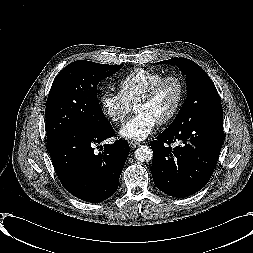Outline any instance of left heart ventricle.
Listing matches in <instances>:
<instances>
[{
  "label": "left heart ventricle",
  "instance_id": "b2bd125f",
  "mask_svg": "<svg viewBox=\"0 0 253 253\" xmlns=\"http://www.w3.org/2000/svg\"><path fill=\"white\" fill-rule=\"evenodd\" d=\"M179 97V87L175 81L164 83L152 100L135 106L136 114L144 113L159 122L175 107Z\"/></svg>",
  "mask_w": 253,
  "mask_h": 253
}]
</instances>
